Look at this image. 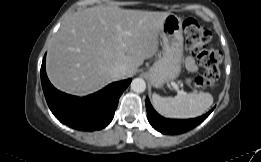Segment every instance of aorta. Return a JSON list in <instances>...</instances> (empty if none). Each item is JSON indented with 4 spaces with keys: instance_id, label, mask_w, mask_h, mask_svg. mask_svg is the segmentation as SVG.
I'll list each match as a JSON object with an SVG mask.
<instances>
[{
    "instance_id": "aorta-1",
    "label": "aorta",
    "mask_w": 261,
    "mask_h": 162,
    "mask_svg": "<svg viewBox=\"0 0 261 162\" xmlns=\"http://www.w3.org/2000/svg\"><path fill=\"white\" fill-rule=\"evenodd\" d=\"M146 89V83L142 78H135L131 82V90L136 93H142Z\"/></svg>"
}]
</instances>
